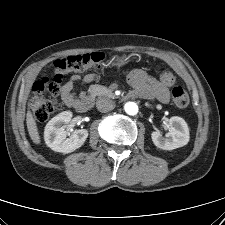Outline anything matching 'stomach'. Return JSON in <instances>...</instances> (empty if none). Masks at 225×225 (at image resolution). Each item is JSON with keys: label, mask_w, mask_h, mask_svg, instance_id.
I'll list each match as a JSON object with an SVG mask.
<instances>
[{"label": "stomach", "mask_w": 225, "mask_h": 225, "mask_svg": "<svg viewBox=\"0 0 225 225\" xmlns=\"http://www.w3.org/2000/svg\"><path fill=\"white\" fill-rule=\"evenodd\" d=\"M124 64V59H119L116 63V65L121 66Z\"/></svg>", "instance_id": "0dacf381"}]
</instances>
